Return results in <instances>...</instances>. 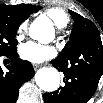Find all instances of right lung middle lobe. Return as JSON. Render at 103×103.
Instances as JSON below:
<instances>
[{
	"label": "right lung middle lobe",
	"instance_id": "obj_1",
	"mask_svg": "<svg viewBox=\"0 0 103 103\" xmlns=\"http://www.w3.org/2000/svg\"><path fill=\"white\" fill-rule=\"evenodd\" d=\"M24 19H19L0 10V56L16 52L18 41L15 39L17 29Z\"/></svg>",
	"mask_w": 103,
	"mask_h": 103
}]
</instances>
